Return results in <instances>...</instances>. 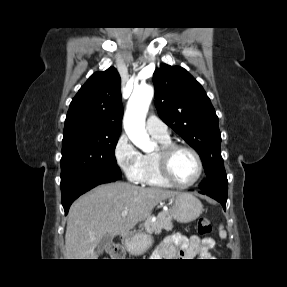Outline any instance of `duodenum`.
<instances>
[{"label":"duodenum","mask_w":287,"mask_h":287,"mask_svg":"<svg viewBox=\"0 0 287 287\" xmlns=\"http://www.w3.org/2000/svg\"><path fill=\"white\" fill-rule=\"evenodd\" d=\"M123 241H124V244H125L126 246H128L129 243H130V236H129V235H124V236H123Z\"/></svg>","instance_id":"1"}]
</instances>
